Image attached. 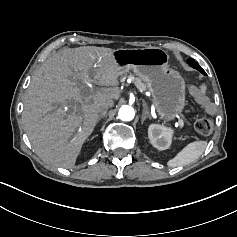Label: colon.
Instances as JSON below:
<instances>
[{
    "instance_id": "1",
    "label": "colon",
    "mask_w": 237,
    "mask_h": 237,
    "mask_svg": "<svg viewBox=\"0 0 237 237\" xmlns=\"http://www.w3.org/2000/svg\"><path fill=\"white\" fill-rule=\"evenodd\" d=\"M189 91L195 100L201 104L206 111H213L215 109V104L208 100L205 90L202 87L191 85L189 87ZM194 128L199 134L208 135L213 131L214 122L211 118L202 116L196 119L194 122Z\"/></svg>"
}]
</instances>
